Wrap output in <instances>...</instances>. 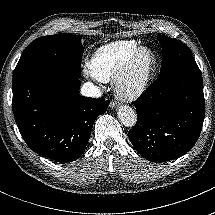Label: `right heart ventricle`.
<instances>
[{
  "mask_svg": "<svg viewBox=\"0 0 215 215\" xmlns=\"http://www.w3.org/2000/svg\"><path fill=\"white\" fill-rule=\"evenodd\" d=\"M138 47L134 40L115 41L99 47L86 62L88 73L100 81L112 79Z\"/></svg>",
  "mask_w": 215,
  "mask_h": 215,
  "instance_id": "right-heart-ventricle-1",
  "label": "right heart ventricle"
}]
</instances>
